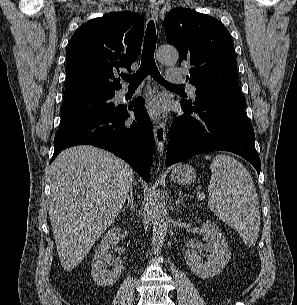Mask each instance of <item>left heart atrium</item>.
Returning <instances> with one entry per match:
<instances>
[{"mask_svg": "<svg viewBox=\"0 0 297 305\" xmlns=\"http://www.w3.org/2000/svg\"><path fill=\"white\" fill-rule=\"evenodd\" d=\"M146 113L151 117V118H159L164 110V104L162 100L156 98L147 103L145 106Z\"/></svg>", "mask_w": 297, "mask_h": 305, "instance_id": "39dd6f15", "label": "left heart atrium"}]
</instances>
